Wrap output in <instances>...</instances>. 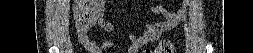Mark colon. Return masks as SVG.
<instances>
[{"label":"colon","mask_w":253,"mask_h":53,"mask_svg":"<svg viewBox=\"0 0 253 53\" xmlns=\"http://www.w3.org/2000/svg\"><path fill=\"white\" fill-rule=\"evenodd\" d=\"M74 10V21L77 27L86 26L91 22L93 15V7L90 6L92 0L77 1ZM174 46L168 39L162 40L154 49H146L145 53H173Z\"/></svg>","instance_id":"obj_1"}]
</instances>
